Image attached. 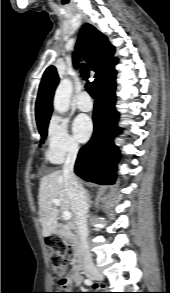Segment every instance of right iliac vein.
Returning <instances> with one entry per match:
<instances>
[{"label": "right iliac vein", "instance_id": "obj_1", "mask_svg": "<svg viewBox=\"0 0 170 293\" xmlns=\"http://www.w3.org/2000/svg\"><path fill=\"white\" fill-rule=\"evenodd\" d=\"M88 276L92 279H96V280H103L104 276L103 274L97 270V269H93L88 273Z\"/></svg>", "mask_w": 170, "mask_h": 293}]
</instances>
